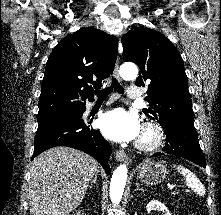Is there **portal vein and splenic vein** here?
Returning a JSON list of instances; mask_svg holds the SVG:
<instances>
[{
    "label": "portal vein and splenic vein",
    "mask_w": 221,
    "mask_h": 215,
    "mask_svg": "<svg viewBox=\"0 0 221 215\" xmlns=\"http://www.w3.org/2000/svg\"><path fill=\"white\" fill-rule=\"evenodd\" d=\"M168 188H169V190H173L174 189V185H169Z\"/></svg>",
    "instance_id": "18ae733b"
}]
</instances>
